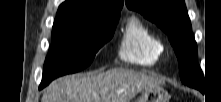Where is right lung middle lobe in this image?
<instances>
[{"label": "right lung middle lobe", "instance_id": "obj_1", "mask_svg": "<svg viewBox=\"0 0 221 102\" xmlns=\"http://www.w3.org/2000/svg\"><path fill=\"white\" fill-rule=\"evenodd\" d=\"M120 13L108 16L57 15L41 85L82 70L113 36Z\"/></svg>", "mask_w": 221, "mask_h": 102}]
</instances>
